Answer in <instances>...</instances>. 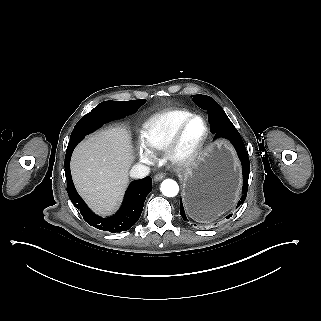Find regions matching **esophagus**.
I'll return each instance as SVG.
<instances>
[{"label": "esophagus", "mask_w": 321, "mask_h": 321, "mask_svg": "<svg viewBox=\"0 0 321 321\" xmlns=\"http://www.w3.org/2000/svg\"><path fill=\"white\" fill-rule=\"evenodd\" d=\"M164 177H165L164 174L160 173V174H157V175L154 176V180H155V181H160V180H162Z\"/></svg>", "instance_id": "obj_1"}]
</instances>
